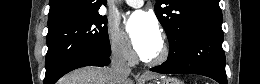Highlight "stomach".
Listing matches in <instances>:
<instances>
[{"label":"stomach","mask_w":260,"mask_h":84,"mask_svg":"<svg viewBox=\"0 0 260 84\" xmlns=\"http://www.w3.org/2000/svg\"><path fill=\"white\" fill-rule=\"evenodd\" d=\"M154 84H183L180 80L176 78H158Z\"/></svg>","instance_id":"stomach-1"}]
</instances>
